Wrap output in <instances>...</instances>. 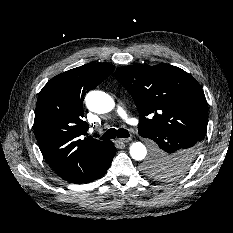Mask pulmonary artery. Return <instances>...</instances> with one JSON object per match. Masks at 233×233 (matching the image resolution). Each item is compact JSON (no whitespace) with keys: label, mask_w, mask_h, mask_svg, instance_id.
Returning a JSON list of instances; mask_svg holds the SVG:
<instances>
[{"label":"pulmonary artery","mask_w":233,"mask_h":233,"mask_svg":"<svg viewBox=\"0 0 233 233\" xmlns=\"http://www.w3.org/2000/svg\"><path fill=\"white\" fill-rule=\"evenodd\" d=\"M118 115L124 119L127 123L131 124V125H137V121L135 119L129 118L126 111L121 107L118 106L116 109Z\"/></svg>","instance_id":"obj_1"}]
</instances>
